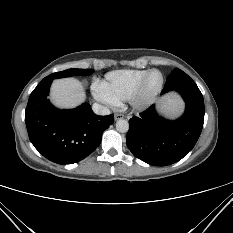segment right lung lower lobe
Wrapping results in <instances>:
<instances>
[{
    "label": "right lung lower lobe",
    "mask_w": 233,
    "mask_h": 233,
    "mask_svg": "<svg viewBox=\"0 0 233 233\" xmlns=\"http://www.w3.org/2000/svg\"><path fill=\"white\" fill-rule=\"evenodd\" d=\"M56 78L53 75L45 77L31 93L25 122L34 147L47 159L65 165L79 162L91 154L114 117L112 114L96 115L87 103L68 110L53 107L47 96Z\"/></svg>",
    "instance_id": "1"
}]
</instances>
